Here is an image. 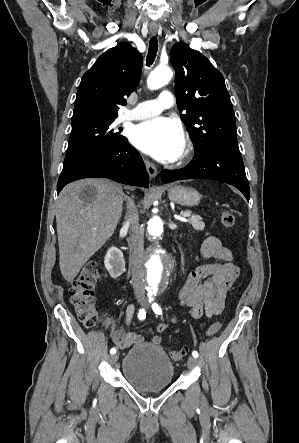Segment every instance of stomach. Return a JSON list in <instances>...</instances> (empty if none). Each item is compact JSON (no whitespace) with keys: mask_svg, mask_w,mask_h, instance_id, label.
Listing matches in <instances>:
<instances>
[{"mask_svg":"<svg viewBox=\"0 0 299 443\" xmlns=\"http://www.w3.org/2000/svg\"><path fill=\"white\" fill-rule=\"evenodd\" d=\"M167 190L169 199L180 205L192 207L200 201V194L194 188L169 185Z\"/></svg>","mask_w":299,"mask_h":443,"instance_id":"stomach-1","label":"stomach"}]
</instances>
